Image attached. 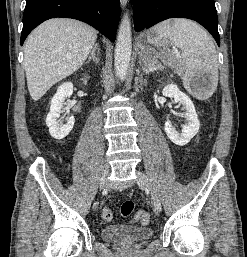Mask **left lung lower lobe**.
<instances>
[{
  "label": "left lung lower lobe",
  "mask_w": 247,
  "mask_h": 257,
  "mask_svg": "<svg viewBox=\"0 0 247 257\" xmlns=\"http://www.w3.org/2000/svg\"><path fill=\"white\" fill-rule=\"evenodd\" d=\"M136 31L169 19L188 18L204 26L220 46L214 0H133Z\"/></svg>",
  "instance_id": "obj_1"
}]
</instances>
